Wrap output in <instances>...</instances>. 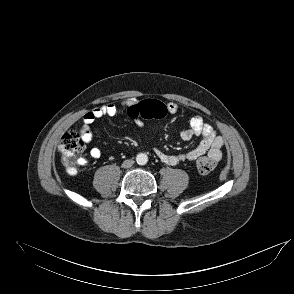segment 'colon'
<instances>
[{"label": "colon", "mask_w": 294, "mask_h": 294, "mask_svg": "<svg viewBox=\"0 0 294 294\" xmlns=\"http://www.w3.org/2000/svg\"><path fill=\"white\" fill-rule=\"evenodd\" d=\"M128 115L131 118L159 119L167 113L166 105L158 100H144L133 103L127 108ZM84 150V141L77 130L65 133L59 144V152L62 155L63 163L69 174H76V165L82 163L80 158ZM216 160L210 156H204L197 160L196 166L198 172L202 175H208L216 168Z\"/></svg>", "instance_id": "1"}]
</instances>
